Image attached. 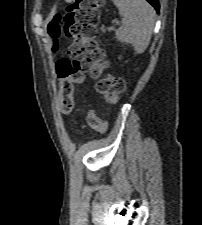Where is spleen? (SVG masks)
I'll use <instances>...</instances> for the list:
<instances>
[{
  "label": "spleen",
  "instance_id": "obj_1",
  "mask_svg": "<svg viewBox=\"0 0 202 225\" xmlns=\"http://www.w3.org/2000/svg\"><path fill=\"white\" fill-rule=\"evenodd\" d=\"M122 17L116 31L118 41L131 44L136 53H143L149 45L154 24L155 10L146 0H112Z\"/></svg>",
  "mask_w": 202,
  "mask_h": 225
}]
</instances>
